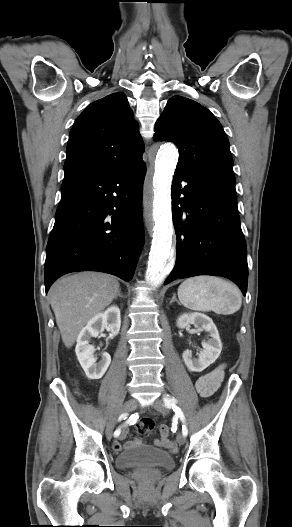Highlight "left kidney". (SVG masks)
Returning <instances> with one entry per match:
<instances>
[{
    "instance_id": "left-kidney-1",
    "label": "left kidney",
    "mask_w": 292,
    "mask_h": 527,
    "mask_svg": "<svg viewBox=\"0 0 292 527\" xmlns=\"http://www.w3.org/2000/svg\"><path fill=\"white\" fill-rule=\"evenodd\" d=\"M189 324H193L197 328H201L209 332L210 338L202 342L203 351L199 357L192 358L190 350L184 351L183 361L191 372H201L210 364L214 363L219 357L222 350V343L216 325L212 319L202 313H185L177 319V327L184 329Z\"/></svg>"
}]
</instances>
